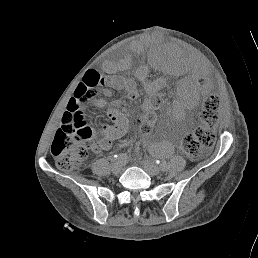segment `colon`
<instances>
[{
  "label": "colon",
  "mask_w": 258,
  "mask_h": 258,
  "mask_svg": "<svg viewBox=\"0 0 258 258\" xmlns=\"http://www.w3.org/2000/svg\"><path fill=\"white\" fill-rule=\"evenodd\" d=\"M102 75L94 70L88 71L69 101L67 112L62 118L61 127L55 134L51 153L59 169L69 171L78 168L87 158L90 151L98 146V129L85 119L81 104L85 103L101 83ZM219 100L216 96H209L204 100L201 119L205 126L187 135L181 142L179 149L186 155L196 158L201 156L207 148L215 143L213 126L218 120ZM155 123L152 113L142 115L139 120V130L149 132Z\"/></svg>",
  "instance_id": "5ec220e1"
}]
</instances>
